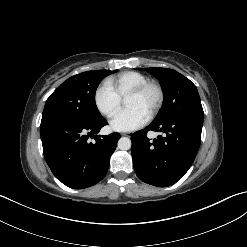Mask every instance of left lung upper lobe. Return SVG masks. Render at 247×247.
<instances>
[{
    "label": "left lung upper lobe",
    "mask_w": 247,
    "mask_h": 247,
    "mask_svg": "<svg viewBox=\"0 0 247 247\" xmlns=\"http://www.w3.org/2000/svg\"><path fill=\"white\" fill-rule=\"evenodd\" d=\"M147 72L160 80L164 91L163 108L153 123L167 122L177 115L204 117L197 88L188 78L168 68H148Z\"/></svg>",
    "instance_id": "obj_1"
}]
</instances>
